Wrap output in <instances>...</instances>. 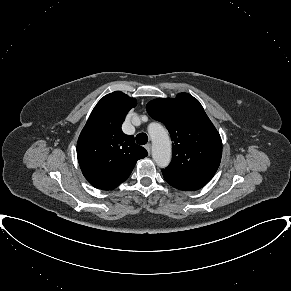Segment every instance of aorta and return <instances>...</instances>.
I'll use <instances>...</instances> for the list:
<instances>
[{
  "label": "aorta",
  "instance_id": "obj_1",
  "mask_svg": "<svg viewBox=\"0 0 291 291\" xmlns=\"http://www.w3.org/2000/svg\"><path fill=\"white\" fill-rule=\"evenodd\" d=\"M148 132L152 141L153 160L159 167H167L172 155L171 141L167 130L159 123H151Z\"/></svg>",
  "mask_w": 291,
  "mask_h": 291
}]
</instances>
